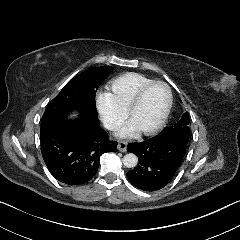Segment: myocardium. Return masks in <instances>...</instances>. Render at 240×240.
Masks as SVG:
<instances>
[{"mask_svg": "<svg viewBox=\"0 0 240 240\" xmlns=\"http://www.w3.org/2000/svg\"><path fill=\"white\" fill-rule=\"evenodd\" d=\"M155 85H159L165 88L166 90V102H165V106L162 112V115L160 117V119L149 129L146 130H142L140 131V133L144 136H151L154 135L155 133H157L162 126L165 124L168 115L170 113V109L172 106V92L170 87L162 82V81H151L150 83H147L145 85H143L136 93L134 99L132 100V102L130 103V105L128 106V108L124 111L125 114V119L130 121L132 114L137 110V108L141 105L143 97L145 95V93L152 87Z\"/></svg>", "mask_w": 240, "mask_h": 240, "instance_id": "myocardium-1", "label": "myocardium"}]
</instances>
